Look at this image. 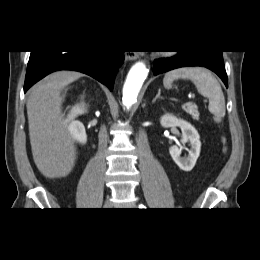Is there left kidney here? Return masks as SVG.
<instances>
[{"instance_id":"obj_1","label":"left kidney","mask_w":260,"mask_h":260,"mask_svg":"<svg viewBox=\"0 0 260 260\" xmlns=\"http://www.w3.org/2000/svg\"><path fill=\"white\" fill-rule=\"evenodd\" d=\"M160 123L162 127H180L182 131V139L181 143L184 145L188 143L190 145V150L188 151L187 157H181L182 146L179 144L170 147L169 152L174 160V162L178 165V167L185 171L189 172L193 169L196 164V161L200 155L201 142L200 136L197 130L187 121L183 119H178L172 114H165L161 117Z\"/></svg>"}]
</instances>
